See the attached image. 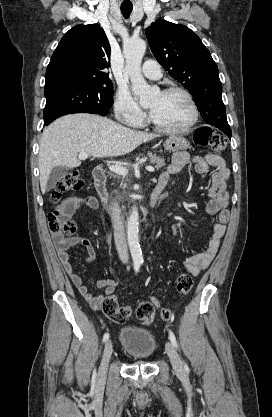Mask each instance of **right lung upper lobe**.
<instances>
[{
    "label": "right lung upper lobe",
    "instance_id": "obj_1",
    "mask_svg": "<svg viewBox=\"0 0 272 417\" xmlns=\"http://www.w3.org/2000/svg\"><path fill=\"white\" fill-rule=\"evenodd\" d=\"M109 59L110 45L98 24L74 26L63 36L47 66L45 91L111 85L105 72Z\"/></svg>",
    "mask_w": 272,
    "mask_h": 417
}]
</instances>
